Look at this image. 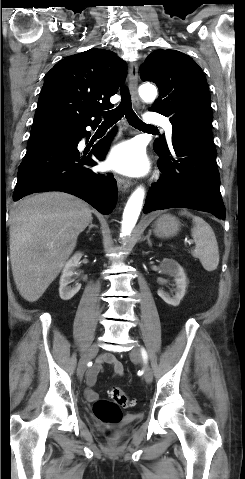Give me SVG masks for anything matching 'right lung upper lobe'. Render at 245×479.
Returning a JSON list of instances; mask_svg holds the SVG:
<instances>
[{
    "instance_id": "cb5924a9",
    "label": "right lung upper lobe",
    "mask_w": 245,
    "mask_h": 479,
    "mask_svg": "<svg viewBox=\"0 0 245 479\" xmlns=\"http://www.w3.org/2000/svg\"><path fill=\"white\" fill-rule=\"evenodd\" d=\"M126 74V62L110 50L90 49L59 61L46 75L31 132L99 123Z\"/></svg>"
}]
</instances>
